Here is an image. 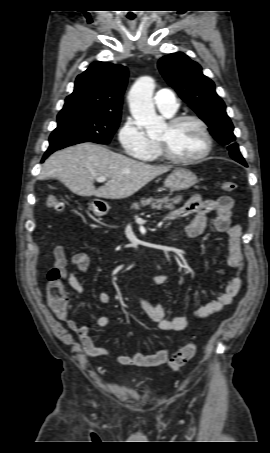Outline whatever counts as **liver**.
Returning a JSON list of instances; mask_svg holds the SVG:
<instances>
[{
	"instance_id": "1",
	"label": "liver",
	"mask_w": 270,
	"mask_h": 453,
	"mask_svg": "<svg viewBox=\"0 0 270 453\" xmlns=\"http://www.w3.org/2000/svg\"><path fill=\"white\" fill-rule=\"evenodd\" d=\"M170 169L171 166H153L87 142L52 154L38 178H57L79 196L123 199ZM100 176L109 181L95 189L94 179Z\"/></svg>"
}]
</instances>
